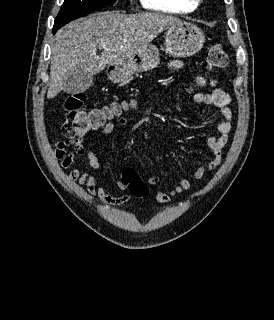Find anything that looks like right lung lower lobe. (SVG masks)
Returning <instances> with one entry per match:
<instances>
[{"mask_svg":"<svg viewBox=\"0 0 274 320\" xmlns=\"http://www.w3.org/2000/svg\"><path fill=\"white\" fill-rule=\"evenodd\" d=\"M57 30H58V29H53V34H55Z\"/></svg>","mask_w":274,"mask_h":320,"instance_id":"1","label":"right lung lower lobe"}]
</instances>
